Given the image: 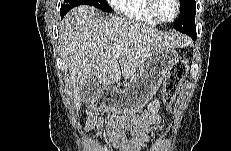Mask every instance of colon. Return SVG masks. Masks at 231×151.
Returning <instances> with one entry per match:
<instances>
[{"label": "colon", "mask_w": 231, "mask_h": 151, "mask_svg": "<svg viewBox=\"0 0 231 151\" xmlns=\"http://www.w3.org/2000/svg\"><path fill=\"white\" fill-rule=\"evenodd\" d=\"M187 72L188 62L184 58L178 59L169 70L162 93L163 102L168 108L173 106L177 89L185 79Z\"/></svg>", "instance_id": "colon-1"}]
</instances>
